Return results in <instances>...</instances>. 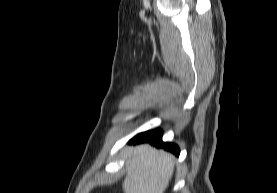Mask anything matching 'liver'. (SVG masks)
<instances>
[{
  "instance_id": "liver-1",
  "label": "liver",
  "mask_w": 277,
  "mask_h": 193,
  "mask_svg": "<svg viewBox=\"0 0 277 193\" xmlns=\"http://www.w3.org/2000/svg\"><path fill=\"white\" fill-rule=\"evenodd\" d=\"M174 156L149 144L136 146L127 162L124 193H164L174 171Z\"/></svg>"
}]
</instances>
